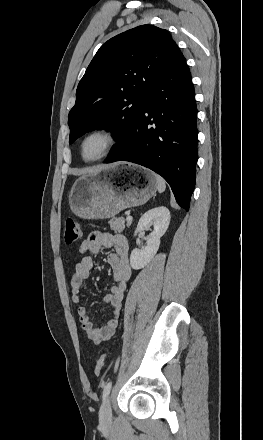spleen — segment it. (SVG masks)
Masks as SVG:
<instances>
[{"mask_svg":"<svg viewBox=\"0 0 263 440\" xmlns=\"http://www.w3.org/2000/svg\"><path fill=\"white\" fill-rule=\"evenodd\" d=\"M155 177H156V181H157V190L159 191V193L164 192L166 189L165 180L160 175H157V174H155Z\"/></svg>","mask_w":263,"mask_h":440,"instance_id":"1","label":"spleen"}]
</instances>
